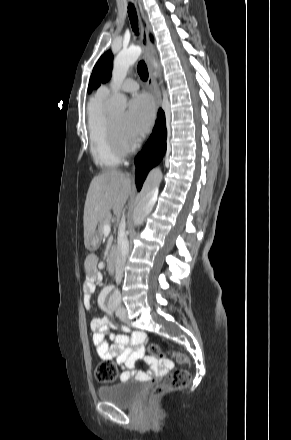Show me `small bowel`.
Returning <instances> with one entry per match:
<instances>
[{
    "label": "small bowel",
    "instance_id": "1",
    "mask_svg": "<svg viewBox=\"0 0 291 440\" xmlns=\"http://www.w3.org/2000/svg\"><path fill=\"white\" fill-rule=\"evenodd\" d=\"M98 259L89 255L85 261L87 281L83 286V305L92 309V295L95 283L101 279L97 271ZM100 304L106 305V296L100 297ZM93 343L100 359L114 361L121 371L123 379H135L141 382L166 375L174 366L170 360H157L145 355L144 340L141 333H134L131 338L115 334L111 331L109 320L105 317L94 316L91 321ZM109 341L112 343L109 344ZM144 360L149 366L148 372L132 370L137 361Z\"/></svg>",
    "mask_w": 291,
    "mask_h": 440
}]
</instances>
